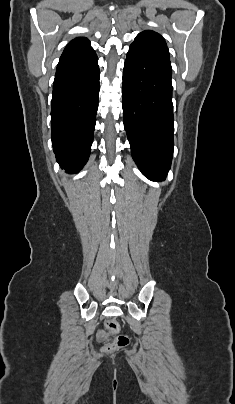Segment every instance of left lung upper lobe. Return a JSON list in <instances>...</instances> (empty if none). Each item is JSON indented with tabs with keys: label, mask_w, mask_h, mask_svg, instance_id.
<instances>
[{
	"label": "left lung upper lobe",
	"mask_w": 235,
	"mask_h": 404,
	"mask_svg": "<svg viewBox=\"0 0 235 404\" xmlns=\"http://www.w3.org/2000/svg\"><path fill=\"white\" fill-rule=\"evenodd\" d=\"M131 45L148 49L169 58V51L164 38L154 31L146 30L139 33Z\"/></svg>",
	"instance_id": "1"
}]
</instances>
